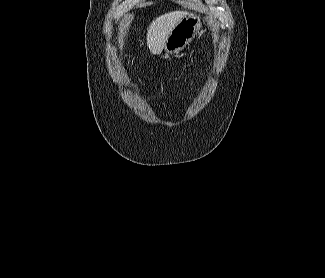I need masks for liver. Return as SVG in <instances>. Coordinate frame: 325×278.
<instances>
[{"mask_svg":"<svg viewBox=\"0 0 325 278\" xmlns=\"http://www.w3.org/2000/svg\"><path fill=\"white\" fill-rule=\"evenodd\" d=\"M186 11L165 13L151 22L147 28V46L152 54H159L174 26L185 16Z\"/></svg>","mask_w":325,"mask_h":278,"instance_id":"liver-1","label":"liver"}]
</instances>
